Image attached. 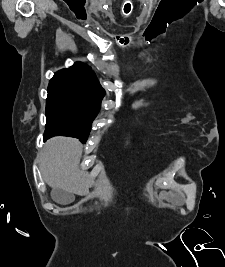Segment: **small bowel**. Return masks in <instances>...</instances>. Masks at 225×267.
Segmentation results:
<instances>
[{
  "label": "small bowel",
  "instance_id": "1",
  "mask_svg": "<svg viewBox=\"0 0 225 267\" xmlns=\"http://www.w3.org/2000/svg\"><path fill=\"white\" fill-rule=\"evenodd\" d=\"M165 199L168 200V201H171L177 205H180L182 204L183 200H182V197L179 196V195H176V194H167L165 196Z\"/></svg>",
  "mask_w": 225,
  "mask_h": 267
}]
</instances>
